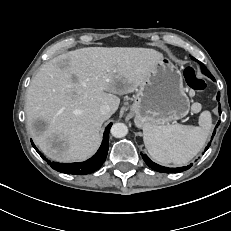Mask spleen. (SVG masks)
<instances>
[{
	"label": "spleen",
	"instance_id": "1",
	"mask_svg": "<svg viewBox=\"0 0 231 231\" xmlns=\"http://www.w3.org/2000/svg\"><path fill=\"white\" fill-rule=\"evenodd\" d=\"M212 126L211 114L203 111L199 126L148 125L143 128V139L150 156L159 163L185 165L203 148Z\"/></svg>",
	"mask_w": 231,
	"mask_h": 231
}]
</instances>
